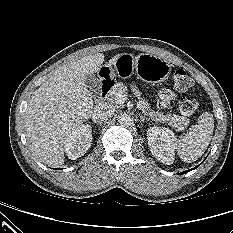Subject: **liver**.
<instances>
[{"mask_svg":"<svg viewBox=\"0 0 233 233\" xmlns=\"http://www.w3.org/2000/svg\"><path fill=\"white\" fill-rule=\"evenodd\" d=\"M121 54L109 60L116 63ZM104 55L97 53L64 64L32 95L24 115L31 151L50 166L64 163V141L93 112V96L84 78L97 73Z\"/></svg>","mask_w":233,"mask_h":233,"instance_id":"6515ba94","label":"liver"}]
</instances>
